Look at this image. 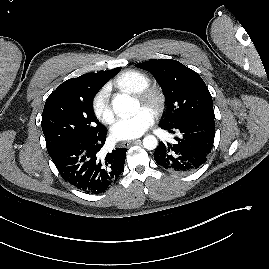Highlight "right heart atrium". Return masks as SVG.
I'll return each mask as SVG.
<instances>
[{"mask_svg":"<svg viewBox=\"0 0 269 269\" xmlns=\"http://www.w3.org/2000/svg\"><path fill=\"white\" fill-rule=\"evenodd\" d=\"M92 109L95 116L106 124L114 121V111L109 101V88L101 87L92 99Z\"/></svg>","mask_w":269,"mask_h":269,"instance_id":"1","label":"right heart atrium"}]
</instances>
